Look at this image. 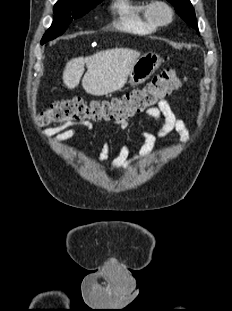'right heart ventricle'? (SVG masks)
Returning a JSON list of instances; mask_svg holds the SVG:
<instances>
[{"instance_id": "right-heart-ventricle-1", "label": "right heart ventricle", "mask_w": 232, "mask_h": 311, "mask_svg": "<svg viewBox=\"0 0 232 311\" xmlns=\"http://www.w3.org/2000/svg\"><path fill=\"white\" fill-rule=\"evenodd\" d=\"M149 4L144 0H115L112 10L116 16V26L122 31L137 35L155 33L158 26L148 15Z\"/></svg>"}]
</instances>
